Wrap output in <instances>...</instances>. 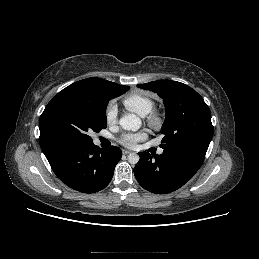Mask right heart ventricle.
I'll use <instances>...</instances> for the list:
<instances>
[{
    "instance_id": "e07e8e85",
    "label": "right heart ventricle",
    "mask_w": 259,
    "mask_h": 259,
    "mask_svg": "<svg viewBox=\"0 0 259 259\" xmlns=\"http://www.w3.org/2000/svg\"><path fill=\"white\" fill-rule=\"evenodd\" d=\"M123 103L127 109L141 116L151 112L154 106L152 98L141 93H134L125 97Z\"/></svg>"
}]
</instances>
